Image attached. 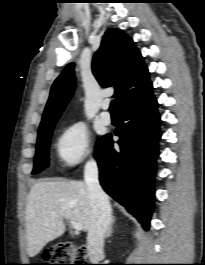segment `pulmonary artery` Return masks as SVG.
I'll return each mask as SVG.
<instances>
[{
    "instance_id": "e3ab8cb5",
    "label": "pulmonary artery",
    "mask_w": 205,
    "mask_h": 265,
    "mask_svg": "<svg viewBox=\"0 0 205 265\" xmlns=\"http://www.w3.org/2000/svg\"><path fill=\"white\" fill-rule=\"evenodd\" d=\"M109 108V103L108 102H104L102 104V109L103 111L100 114L101 120L104 124L108 125L111 123V115L110 113L107 111Z\"/></svg>"
}]
</instances>
